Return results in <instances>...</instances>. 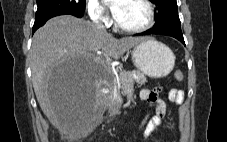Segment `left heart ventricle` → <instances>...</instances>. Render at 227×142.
I'll return each mask as SVG.
<instances>
[{
  "label": "left heart ventricle",
  "instance_id": "obj_1",
  "mask_svg": "<svg viewBox=\"0 0 227 142\" xmlns=\"http://www.w3.org/2000/svg\"><path fill=\"white\" fill-rule=\"evenodd\" d=\"M147 10L141 0H126L116 20L127 27H137L145 23Z\"/></svg>",
  "mask_w": 227,
  "mask_h": 142
}]
</instances>
